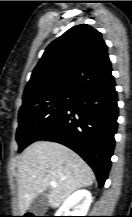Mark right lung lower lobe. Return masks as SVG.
I'll list each match as a JSON object with an SVG mask.
<instances>
[{
	"mask_svg": "<svg viewBox=\"0 0 132 217\" xmlns=\"http://www.w3.org/2000/svg\"><path fill=\"white\" fill-rule=\"evenodd\" d=\"M117 92L114 78L75 94L74 101L37 140L63 144L94 170L99 187L111 166L117 130Z\"/></svg>",
	"mask_w": 132,
	"mask_h": 217,
	"instance_id": "obj_1",
	"label": "right lung lower lobe"
}]
</instances>
